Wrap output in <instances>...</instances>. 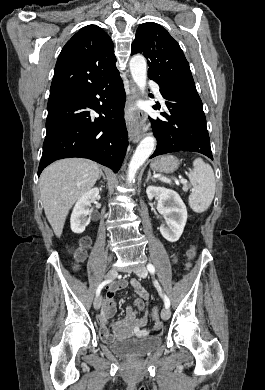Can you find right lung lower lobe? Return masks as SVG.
Listing matches in <instances>:
<instances>
[{
    "label": "right lung lower lobe",
    "instance_id": "98d812e1",
    "mask_svg": "<svg viewBox=\"0 0 265 390\" xmlns=\"http://www.w3.org/2000/svg\"><path fill=\"white\" fill-rule=\"evenodd\" d=\"M124 104L118 70L86 88L49 98L38 176L50 163L67 157L88 158L118 172L128 146ZM89 108L100 116L91 118Z\"/></svg>",
    "mask_w": 265,
    "mask_h": 390
}]
</instances>
